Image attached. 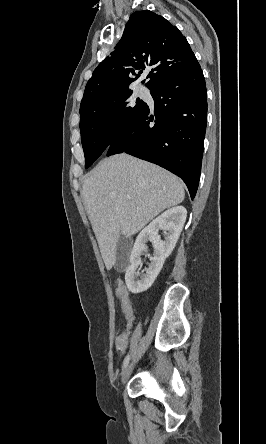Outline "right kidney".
Returning a JSON list of instances; mask_svg holds the SVG:
<instances>
[{
  "label": "right kidney",
  "mask_w": 266,
  "mask_h": 444,
  "mask_svg": "<svg viewBox=\"0 0 266 444\" xmlns=\"http://www.w3.org/2000/svg\"><path fill=\"white\" fill-rule=\"evenodd\" d=\"M187 211L183 206L172 207L145 227L137 236L130 254V265L126 269L125 282L131 293L146 291L154 283L166 258L173 251L183 229ZM165 232V240H161L158 231ZM151 241L154 248L151 263L145 274L138 280L136 270L141 264V255L146 250V243Z\"/></svg>",
  "instance_id": "obj_1"
}]
</instances>
